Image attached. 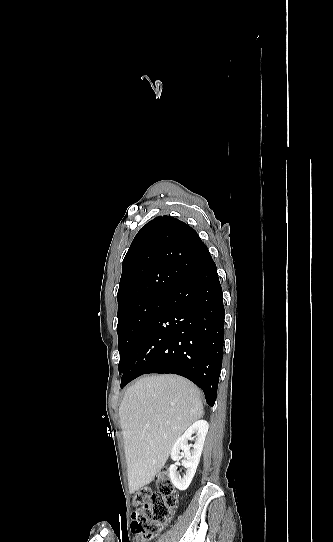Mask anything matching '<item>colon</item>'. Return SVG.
<instances>
[{
    "label": "colon",
    "instance_id": "5ec220e1",
    "mask_svg": "<svg viewBox=\"0 0 333 542\" xmlns=\"http://www.w3.org/2000/svg\"><path fill=\"white\" fill-rule=\"evenodd\" d=\"M154 484L158 493L154 494L150 489L143 488L134 496L136 515L132 517L133 530L130 533L134 540L157 536L172 516L173 508L177 504L171 475L167 469L158 473Z\"/></svg>",
    "mask_w": 333,
    "mask_h": 542
}]
</instances>
